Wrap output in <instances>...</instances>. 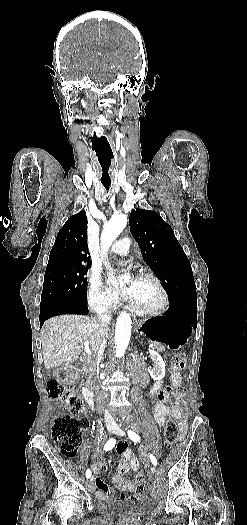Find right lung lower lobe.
Instances as JSON below:
<instances>
[{
    "label": "right lung lower lobe",
    "instance_id": "98d812e1",
    "mask_svg": "<svg viewBox=\"0 0 247 525\" xmlns=\"http://www.w3.org/2000/svg\"><path fill=\"white\" fill-rule=\"evenodd\" d=\"M46 313L40 314V327L44 321L58 314H86L88 312L87 301L85 303H61L45 309Z\"/></svg>",
    "mask_w": 247,
    "mask_h": 525
}]
</instances>
